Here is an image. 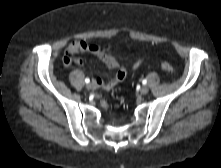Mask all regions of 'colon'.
I'll use <instances>...</instances> for the list:
<instances>
[{"mask_svg": "<svg viewBox=\"0 0 221 168\" xmlns=\"http://www.w3.org/2000/svg\"><path fill=\"white\" fill-rule=\"evenodd\" d=\"M162 69L170 75L174 74L173 67L167 62L162 63ZM102 104L103 106L107 107V104L105 102H102Z\"/></svg>", "mask_w": 221, "mask_h": 168, "instance_id": "obj_1", "label": "colon"}]
</instances>
